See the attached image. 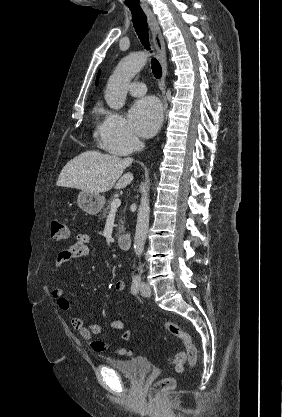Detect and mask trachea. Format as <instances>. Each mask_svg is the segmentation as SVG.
I'll use <instances>...</instances> for the list:
<instances>
[{"label":"trachea","instance_id":"1","mask_svg":"<svg viewBox=\"0 0 282 417\" xmlns=\"http://www.w3.org/2000/svg\"><path fill=\"white\" fill-rule=\"evenodd\" d=\"M131 12L133 26L137 35L144 48H146V50H150L147 17L142 10H131ZM151 68L154 77L161 78L162 68L158 60H156L154 57L151 59Z\"/></svg>","mask_w":282,"mask_h":417}]
</instances>
